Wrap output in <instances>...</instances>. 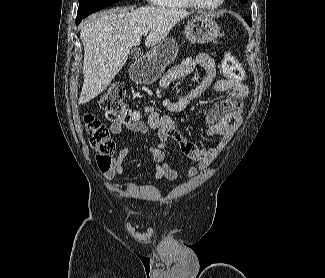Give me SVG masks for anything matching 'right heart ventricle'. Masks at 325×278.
Here are the masks:
<instances>
[{
	"label": "right heart ventricle",
	"mask_w": 325,
	"mask_h": 278,
	"mask_svg": "<svg viewBox=\"0 0 325 278\" xmlns=\"http://www.w3.org/2000/svg\"><path fill=\"white\" fill-rule=\"evenodd\" d=\"M154 5L172 9H189L192 6L186 0H150Z\"/></svg>",
	"instance_id": "right-heart-ventricle-1"
}]
</instances>
